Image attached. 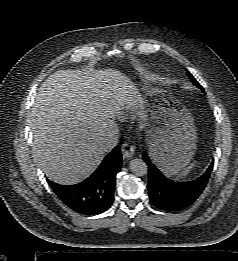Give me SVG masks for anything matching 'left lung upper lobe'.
Returning <instances> with one entry per match:
<instances>
[{"label": "left lung upper lobe", "mask_w": 238, "mask_h": 261, "mask_svg": "<svg viewBox=\"0 0 238 261\" xmlns=\"http://www.w3.org/2000/svg\"><path fill=\"white\" fill-rule=\"evenodd\" d=\"M187 74H188L189 78L191 79V81L193 82V84L197 85L200 89H202V86L197 82V80L192 76V74H190V72H188V71H187Z\"/></svg>", "instance_id": "1"}]
</instances>
